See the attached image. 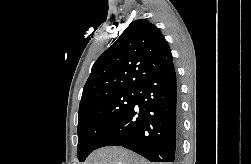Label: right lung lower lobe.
Here are the masks:
<instances>
[{
	"label": "right lung lower lobe",
	"mask_w": 251,
	"mask_h": 164,
	"mask_svg": "<svg viewBox=\"0 0 251 164\" xmlns=\"http://www.w3.org/2000/svg\"><path fill=\"white\" fill-rule=\"evenodd\" d=\"M181 121L173 63L146 78L133 106L101 139L97 149L122 146L151 162H175L180 157Z\"/></svg>",
	"instance_id": "obj_1"
}]
</instances>
